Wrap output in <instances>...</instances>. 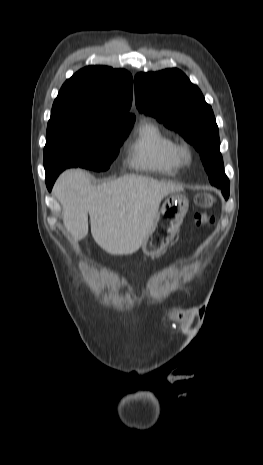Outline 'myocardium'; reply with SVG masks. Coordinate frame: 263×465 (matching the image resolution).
<instances>
[{"instance_id":"obj_1","label":"myocardium","mask_w":263,"mask_h":465,"mask_svg":"<svg viewBox=\"0 0 263 465\" xmlns=\"http://www.w3.org/2000/svg\"><path fill=\"white\" fill-rule=\"evenodd\" d=\"M176 154L183 165H190L194 159V152L189 143H181L176 146Z\"/></svg>"}]
</instances>
